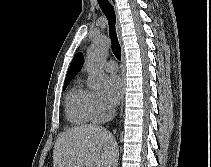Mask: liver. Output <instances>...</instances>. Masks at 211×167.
<instances>
[{"instance_id": "6515ba94", "label": "liver", "mask_w": 211, "mask_h": 167, "mask_svg": "<svg viewBox=\"0 0 211 167\" xmlns=\"http://www.w3.org/2000/svg\"><path fill=\"white\" fill-rule=\"evenodd\" d=\"M112 134L95 124L62 133L54 146L53 167H111L117 159Z\"/></svg>"}]
</instances>
